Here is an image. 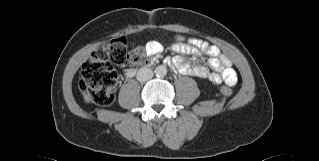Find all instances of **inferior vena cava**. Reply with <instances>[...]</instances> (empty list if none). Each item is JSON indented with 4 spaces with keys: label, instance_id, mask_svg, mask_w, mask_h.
<instances>
[{
    "label": "inferior vena cava",
    "instance_id": "obj_1",
    "mask_svg": "<svg viewBox=\"0 0 319 161\" xmlns=\"http://www.w3.org/2000/svg\"><path fill=\"white\" fill-rule=\"evenodd\" d=\"M153 77V71L149 68H141L138 72H137V80L140 82H146L148 80H150Z\"/></svg>",
    "mask_w": 319,
    "mask_h": 161
}]
</instances>
